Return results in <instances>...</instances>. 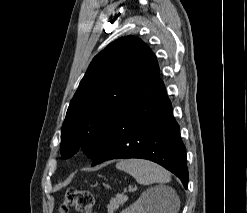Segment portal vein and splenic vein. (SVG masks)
I'll return each instance as SVG.
<instances>
[{"mask_svg":"<svg viewBox=\"0 0 247 213\" xmlns=\"http://www.w3.org/2000/svg\"><path fill=\"white\" fill-rule=\"evenodd\" d=\"M129 192H132L133 191V188H129V190H128Z\"/></svg>","mask_w":247,"mask_h":213,"instance_id":"18ae733b","label":"portal vein and splenic vein"}]
</instances>
